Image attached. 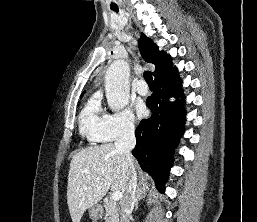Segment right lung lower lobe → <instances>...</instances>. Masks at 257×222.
Here are the masks:
<instances>
[{
	"label": "right lung lower lobe",
	"instance_id": "obj_1",
	"mask_svg": "<svg viewBox=\"0 0 257 222\" xmlns=\"http://www.w3.org/2000/svg\"><path fill=\"white\" fill-rule=\"evenodd\" d=\"M177 79L176 70L155 78L154 92L146 101L152 115L137 127V143L132 150L142 170L152 176L162 193L173 164V150L184 133V107L181 101L169 102L172 96L183 99L181 88L175 85Z\"/></svg>",
	"mask_w": 257,
	"mask_h": 222
}]
</instances>
